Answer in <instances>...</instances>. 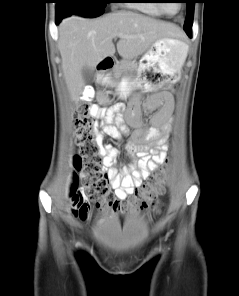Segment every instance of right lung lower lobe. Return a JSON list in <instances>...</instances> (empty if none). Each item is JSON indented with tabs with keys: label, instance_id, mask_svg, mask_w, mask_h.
<instances>
[{
	"label": "right lung lower lobe",
	"instance_id": "right-lung-lower-lobe-1",
	"mask_svg": "<svg viewBox=\"0 0 239 296\" xmlns=\"http://www.w3.org/2000/svg\"><path fill=\"white\" fill-rule=\"evenodd\" d=\"M63 17H66V16H64L63 14H61V13H59V12L57 11V24L61 21V19H62Z\"/></svg>",
	"mask_w": 239,
	"mask_h": 296
}]
</instances>
